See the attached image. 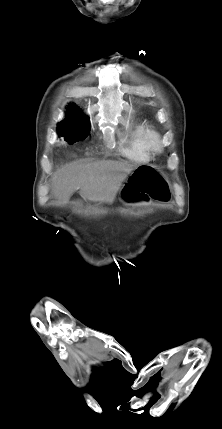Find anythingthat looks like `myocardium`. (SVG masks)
Listing matches in <instances>:
<instances>
[{
  "instance_id": "obj_1",
  "label": "myocardium",
  "mask_w": 222,
  "mask_h": 429,
  "mask_svg": "<svg viewBox=\"0 0 222 429\" xmlns=\"http://www.w3.org/2000/svg\"><path fill=\"white\" fill-rule=\"evenodd\" d=\"M145 145L151 154H160L165 148L161 134L153 129L148 131Z\"/></svg>"
}]
</instances>
